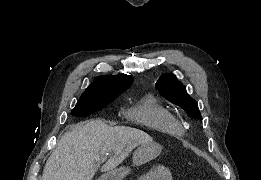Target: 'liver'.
I'll list each match as a JSON object with an SVG mask.
<instances>
[{"instance_id":"1","label":"liver","mask_w":261,"mask_h":180,"mask_svg":"<svg viewBox=\"0 0 261 180\" xmlns=\"http://www.w3.org/2000/svg\"><path fill=\"white\" fill-rule=\"evenodd\" d=\"M149 142L151 136L136 128H110L102 120L83 122L61 136L45 164L42 180H92L106 158L110 160L101 172H111L134 148Z\"/></svg>"}]
</instances>
